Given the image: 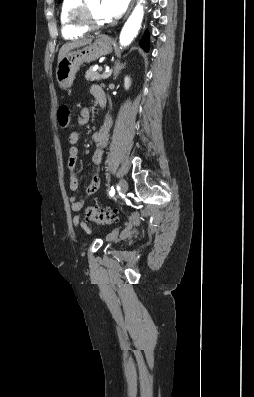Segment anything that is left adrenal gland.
I'll use <instances>...</instances> for the list:
<instances>
[{"mask_svg":"<svg viewBox=\"0 0 254 397\" xmlns=\"http://www.w3.org/2000/svg\"><path fill=\"white\" fill-rule=\"evenodd\" d=\"M126 63L122 64L120 61H116L114 65L113 76L116 79L120 73V71L125 67Z\"/></svg>","mask_w":254,"mask_h":397,"instance_id":"a2214340","label":"left adrenal gland"}]
</instances>
